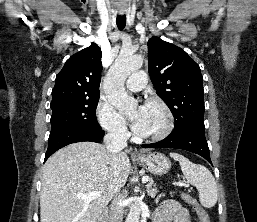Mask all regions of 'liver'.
I'll return each mask as SVG.
<instances>
[{
  "mask_svg": "<svg viewBox=\"0 0 257 222\" xmlns=\"http://www.w3.org/2000/svg\"><path fill=\"white\" fill-rule=\"evenodd\" d=\"M128 151L111 155L94 142L70 144L45 163L40 193V222H96L130 173ZM100 192L85 201L78 194Z\"/></svg>",
  "mask_w": 257,
  "mask_h": 222,
  "instance_id": "obj_1",
  "label": "liver"
}]
</instances>
